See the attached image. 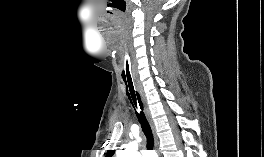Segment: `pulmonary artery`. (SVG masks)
<instances>
[{"label":"pulmonary artery","instance_id":"e3ab8cb5","mask_svg":"<svg viewBox=\"0 0 264 157\" xmlns=\"http://www.w3.org/2000/svg\"><path fill=\"white\" fill-rule=\"evenodd\" d=\"M151 155H154L152 152H148V151H145L144 153H143V157H149V156H151Z\"/></svg>","mask_w":264,"mask_h":157}]
</instances>
